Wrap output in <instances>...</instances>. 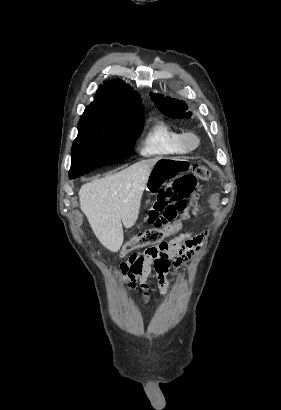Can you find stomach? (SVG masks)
<instances>
[{
	"mask_svg": "<svg viewBox=\"0 0 281 410\" xmlns=\"http://www.w3.org/2000/svg\"><path fill=\"white\" fill-rule=\"evenodd\" d=\"M191 168L189 161L181 157L158 158L152 167L146 182V190L155 193L173 176L188 171Z\"/></svg>",
	"mask_w": 281,
	"mask_h": 410,
	"instance_id": "stomach-1",
	"label": "stomach"
}]
</instances>
